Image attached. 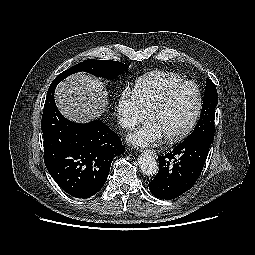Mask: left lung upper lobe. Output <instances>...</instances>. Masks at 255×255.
Wrapping results in <instances>:
<instances>
[{
  "label": "left lung upper lobe",
  "instance_id": "left-lung-upper-lobe-1",
  "mask_svg": "<svg viewBox=\"0 0 255 255\" xmlns=\"http://www.w3.org/2000/svg\"><path fill=\"white\" fill-rule=\"evenodd\" d=\"M218 103L217 90L209 78L206 80V87L203 99V107L201 110L200 119L194 129V131L188 136H193L203 131L214 132V119H215V108ZM187 137V138H188Z\"/></svg>",
  "mask_w": 255,
  "mask_h": 255
}]
</instances>
